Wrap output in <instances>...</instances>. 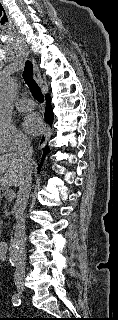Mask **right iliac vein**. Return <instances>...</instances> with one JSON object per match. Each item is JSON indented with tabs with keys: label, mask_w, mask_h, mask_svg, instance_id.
I'll return each instance as SVG.
<instances>
[{
	"label": "right iliac vein",
	"mask_w": 118,
	"mask_h": 320,
	"mask_svg": "<svg viewBox=\"0 0 118 320\" xmlns=\"http://www.w3.org/2000/svg\"><path fill=\"white\" fill-rule=\"evenodd\" d=\"M17 290H18L19 292H23V291H24V286H23L22 284H18V285H17Z\"/></svg>",
	"instance_id": "obj_1"
}]
</instances>
